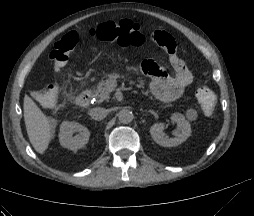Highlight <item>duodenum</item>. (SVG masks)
<instances>
[{"label": "duodenum", "mask_w": 254, "mask_h": 216, "mask_svg": "<svg viewBox=\"0 0 254 216\" xmlns=\"http://www.w3.org/2000/svg\"><path fill=\"white\" fill-rule=\"evenodd\" d=\"M90 91L82 90L75 98L76 104L81 107H86L89 104Z\"/></svg>", "instance_id": "obj_1"}]
</instances>
